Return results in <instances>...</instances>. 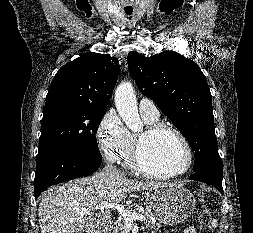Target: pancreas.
<instances>
[{"label": "pancreas", "instance_id": "obj_1", "mask_svg": "<svg viewBox=\"0 0 253 233\" xmlns=\"http://www.w3.org/2000/svg\"><path fill=\"white\" fill-rule=\"evenodd\" d=\"M132 208H133L134 213L141 212L145 216L144 224L147 229L151 230L152 233H160L161 232L160 223L156 222L155 220H152L150 215H148L145 211L139 210L135 205L129 206L128 210L131 212ZM113 232L114 233H128L127 232V224L125 223V221L123 220L122 217H120L114 223Z\"/></svg>", "mask_w": 253, "mask_h": 233}]
</instances>
